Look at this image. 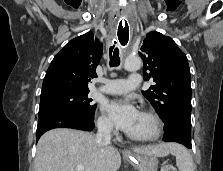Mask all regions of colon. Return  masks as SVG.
<instances>
[{
  "label": "colon",
  "mask_w": 223,
  "mask_h": 171,
  "mask_svg": "<svg viewBox=\"0 0 223 171\" xmlns=\"http://www.w3.org/2000/svg\"><path fill=\"white\" fill-rule=\"evenodd\" d=\"M161 171H177L176 168L172 165H166L162 168Z\"/></svg>",
  "instance_id": "obj_1"
}]
</instances>
